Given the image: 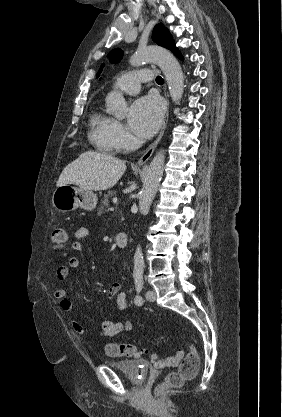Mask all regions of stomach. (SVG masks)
<instances>
[{
  "label": "stomach",
  "instance_id": "0dacf381",
  "mask_svg": "<svg viewBox=\"0 0 282 417\" xmlns=\"http://www.w3.org/2000/svg\"><path fill=\"white\" fill-rule=\"evenodd\" d=\"M51 200L56 211L70 213L75 209L93 211L96 209L98 196L92 190H83L71 184H61L55 188Z\"/></svg>",
  "mask_w": 282,
  "mask_h": 417
}]
</instances>
